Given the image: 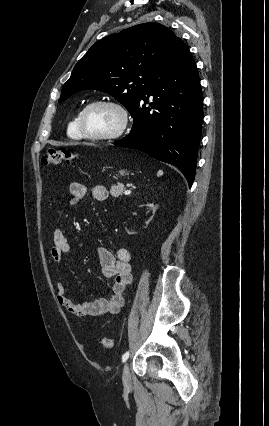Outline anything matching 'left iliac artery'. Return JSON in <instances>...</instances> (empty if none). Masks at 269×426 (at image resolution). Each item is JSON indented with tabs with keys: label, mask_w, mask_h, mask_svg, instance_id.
Segmentation results:
<instances>
[{
	"label": "left iliac artery",
	"mask_w": 269,
	"mask_h": 426,
	"mask_svg": "<svg viewBox=\"0 0 269 426\" xmlns=\"http://www.w3.org/2000/svg\"><path fill=\"white\" fill-rule=\"evenodd\" d=\"M129 357V352L127 351L126 353L123 354L122 356V362H125Z\"/></svg>",
	"instance_id": "1"
}]
</instances>
